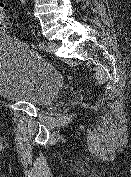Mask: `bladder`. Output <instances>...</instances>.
<instances>
[{
    "mask_svg": "<svg viewBox=\"0 0 131 177\" xmlns=\"http://www.w3.org/2000/svg\"><path fill=\"white\" fill-rule=\"evenodd\" d=\"M64 85L63 76L13 37L0 39V97L35 106L48 104Z\"/></svg>",
    "mask_w": 131,
    "mask_h": 177,
    "instance_id": "1",
    "label": "bladder"
}]
</instances>
